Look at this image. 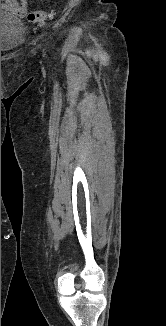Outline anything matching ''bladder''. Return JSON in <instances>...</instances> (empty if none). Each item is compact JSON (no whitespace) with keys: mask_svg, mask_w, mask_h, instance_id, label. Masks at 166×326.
<instances>
[{"mask_svg":"<svg viewBox=\"0 0 166 326\" xmlns=\"http://www.w3.org/2000/svg\"><path fill=\"white\" fill-rule=\"evenodd\" d=\"M24 25L11 12L1 10V51L12 50L20 43Z\"/></svg>","mask_w":166,"mask_h":326,"instance_id":"31cf9c89","label":"bladder"}]
</instances>
